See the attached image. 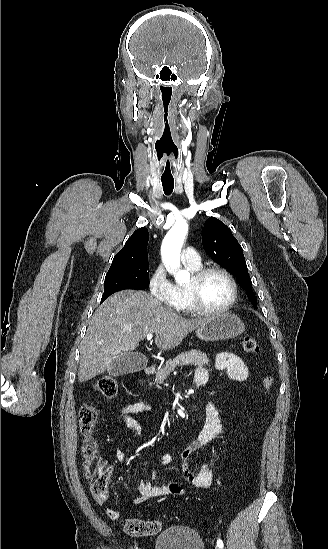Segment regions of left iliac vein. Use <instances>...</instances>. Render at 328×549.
<instances>
[{"instance_id": "4c4485c4", "label": "left iliac vein", "mask_w": 328, "mask_h": 549, "mask_svg": "<svg viewBox=\"0 0 328 549\" xmlns=\"http://www.w3.org/2000/svg\"><path fill=\"white\" fill-rule=\"evenodd\" d=\"M214 549H220V547H219V546H215V548H214Z\"/></svg>"}]
</instances>
